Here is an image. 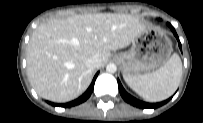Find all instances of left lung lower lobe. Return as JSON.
I'll return each instance as SVG.
<instances>
[{
	"label": "left lung lower lobe",
	"mask_w": 203,
	"mask_h": 123,
	"mask_svg": "<svg viewBox=\"0 0 203 123\" xmlns=\"http://www.w3.org/2000/svg\"><path fill=\"white\" fill-rule=\"evenodd\" d=\"M168 26L171 28L172 32L174 33L175 37L177 38L178 40V44H179V47L181 49V43L179 41V38L175 32V29L170 25L168 24ZM118 87H119V91H120V94L121 96L123 97V99L130 103L131 105L133 106H136V107H139V108H157V107H160L164 104H166L169 100H165V101H162L160 103H146V102H142V101H139L137 100L136 98L132 97L131 95H129L123 88V86L121 85L120 81L118 80Z\"/></svg>",
	"instance_id": "0a47b994"
}]
</instances>
